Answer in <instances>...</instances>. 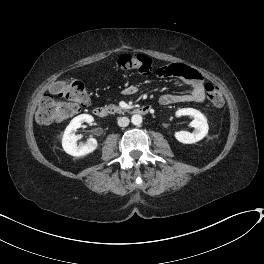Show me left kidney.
Here are the masks:
<instances>
[{"instance_id":"left-kidney-1","label":"left kidney","mask_w":264,"mask_h":264,"mask_svg":"<svg viewBox=\"0 0 264 264\" xmlns=\"http://www.w3.org/2000/svg\"><path fill=\"white\" fill-rule=\"evenodd\" d=\"M177 116H192L194 119L190 126L195 128L193 133L180 131L175 133L176 139L184 144H192L202 140L208 133L209 126L206 117L198 110L193 108H182L176 112Z\"/></svg>"}]
</instances>
